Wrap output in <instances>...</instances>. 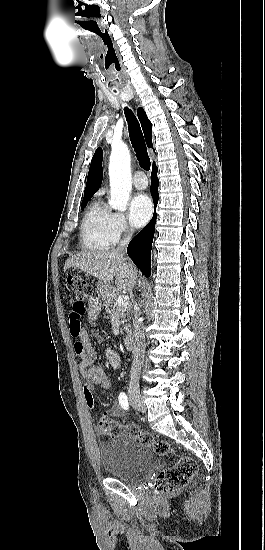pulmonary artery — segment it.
Wrapping results in <instances>:
<instances>
[{
  "label": "pulmonary artery",
  "instance_id": "pulmonary-artery-1",
  "mask_svg": "<svg viewBox=\"0 0 265 550\" xmlns=\"http://www.w3.org/2000/svg\"><path fill=\"white\" fill-rule=\"evenodd\" d=\"M132 183L136 189L143 190L148 186V181L142 171H137L133 177Z\"/></svg>",
  "mask_w": 265,
  "mask_h": 550
}]
</instances>
